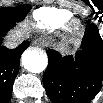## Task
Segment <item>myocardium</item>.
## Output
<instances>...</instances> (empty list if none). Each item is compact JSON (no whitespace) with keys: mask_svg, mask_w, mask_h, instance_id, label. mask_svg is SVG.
Masks as SVG:
<instances>
[{"mask_svg":"<svg viewBox=\"0 0 103 103\" xmlns=\"http://www.w3.org/2000/svg\"><path fill=\"white\" fill-rule=\"evenodd\" d=\"M82 26V23L78 19H72L68 22L67 29L71 32L78 31Z\"/></svg>","mask_w":103,"mask_h":103,"instance_id":"f54148a6","label":"myocardium"}]
</instances>
